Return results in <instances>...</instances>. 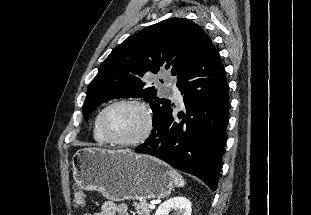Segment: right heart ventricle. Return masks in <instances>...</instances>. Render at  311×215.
Masks as SVG:
<instances>
[{
  "mask_svg": "<svg viewBox=\"0 0 311 215\" xmlns=\"http://www.w3.org/2000/svg\"><path fill=\"white\" fill-rule=\"evenodd\" d=\"M100 112L96 115L95 120H94L93 136H94V139L98 143L105 144V143H107V140L102 136V134L99 130V127H98V119H99Z\"/></svg>",
  "mask_w": 311,
  "mask_h": 215,
  "instance_id": "1",
  "label": "right heart ventricle"
}]
</instances>
